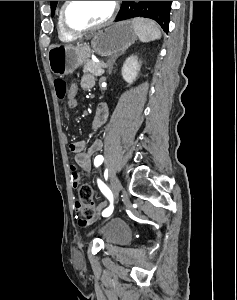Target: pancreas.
<instances>
[{"instance_id":"pancreas-1","label":"pancreas","mask_w":237,"mask_h":300,"mask_svg":"<svg viewBox=\"0 0 237 300\" xmlns=\"http://www.w3.org/2000/svg\"><path fill=\"white\" fill-rule=\"evenodd\" d=\"M101 65H103V63H95V61L87 59V61H85V65H83V73H91V75H95V77H101V75L105 73L104 69H107L101 68ZM106 65H108V61Z\"/></svg>"}]
</instances>
